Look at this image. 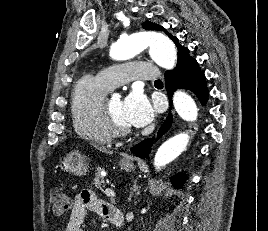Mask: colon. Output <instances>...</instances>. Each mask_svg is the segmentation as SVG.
Instances as JSON below:
<instances>
[{"mask_svg":"<svg viewBox=\"0 0 268 231\" xmlns=\"http://www.w3.org/2000/svg\"><path fill=\"white\" fill-rule=\"evenodd\" d=\"M52 202L55 213H63L70 208V200L62 191H54L52 193Z\"/></svg>","mask_w":268,"mask_h":231,"instance_id":"obj_1","label":"colon"}]
</instances>
